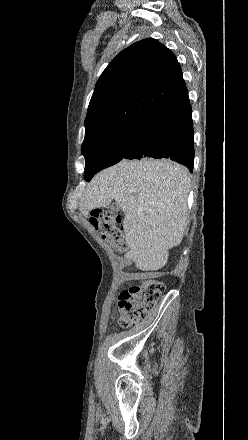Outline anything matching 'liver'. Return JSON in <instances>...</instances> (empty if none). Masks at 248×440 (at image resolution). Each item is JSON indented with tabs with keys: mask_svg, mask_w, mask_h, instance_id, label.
<instances>
[{
	"mask_svg": "<svg viewBox=\"0 0 248 440\" xmlns=\"http://www.w3.org/2000/svg\"><path fill=\"white\" fill-rule=\"evenodd\" d=\"M189 187L187 169L172 161L122 160L95 175L79 210L87 217L114 199L125 215L126 257L143 271H157L183 239Z\"/></svg>",
	"mask_w": 248,
	"mask_h": 440,
	"instance_id": "6515ba94",
	"label": "liver"
}]
</instances>
